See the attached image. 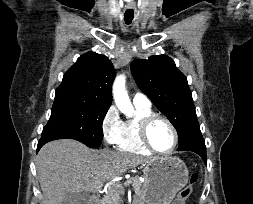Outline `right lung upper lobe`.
Here are the masks:
<instances>
[{
	"instance_id": "right-lung-upper-lobe-1",
	"label": "right lung upper lobe",
	"mask_w": 253,
	"mask_h": 204,
	"mask_svg": "<svg viewBox=\"0 0 253 204\" xmlns=\"http://www.w3.org/2000/svg\"><path fill=\"white\" fill-rule=\"evenodd\" d=\"M114 77L115 70L106 56L88 52L80 56L64 74L62 83L57 90L72 91L110 106Z\"/></svg>"
}]
</instances>
